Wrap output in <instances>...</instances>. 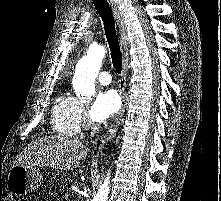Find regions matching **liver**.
I'll return each mask as SVG.
<instances>
[{
	"instance_id": "obj_1",
	"label": "liver",
	"mask_w": 221,
	"mask_h": 201,
	"mask_svg": "<svg viewBox=\"0 0 221 201\" xmlns=\"http://www.w3.org/2000/svg\"><path fill=\"white\" fill-rule=\"evenodd\" d=\"M88 152L89 149L76 139L49 135L38 138L25 147L16 158L15 165L73 170Z\"/></svg>"
}]
</instances>
